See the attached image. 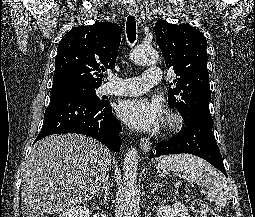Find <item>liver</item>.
Wrapping results in <instances>:
<instances>
[{"label":"liver","mask_w":255,"mask_h":217,"mask_svg":"<svg viewBox=\"0 0 255 217\" xmlns=\"http://www.w3.org/2000/svg\"><path fill=\"white\" fill-rule=\"evenodd\" d=\"M111 155L97 140L61 134L37 142L26 162L23 217H49L90 200L107 176Z\"/></svg>","instance_id":"obj_1"}]
</instances>
